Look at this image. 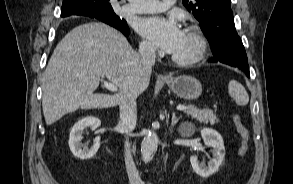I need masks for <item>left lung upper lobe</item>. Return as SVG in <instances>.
Returning a JSON list of instances; mask_svg holds the SVG:
<instances>
[{
	"label": "left lung upper lobe",
	"instance_id": "1",
	"mask_svg": "<svg viewBox=\"0 0 293 184\" xmlns=\"http://www.w3.org/2000/svg\"><path fill=\"white\" fill-rule=\"evenodd\" d=\"M230 4L231 0H183V5L200 22L214 56L221 54L219 47L227 36L238 35Z\"/></svg>",
	"mask_w": 293,
	"mask_h": 184
}]
</instances>
